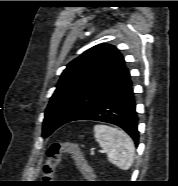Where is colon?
Returning <instances> with one entry per match:
<instances>
[{"label": "colon", "mask_w": 178, "mask_h": 186, "mask_svg": "<svg viewBox=\"0 0 178 186\" xmlns=\"http://www.w3.org/2000/svg\"><path fill=\"white\" fill-rule=\"evenodd\" d=\"M65 153H69L73 156L80 171H82L84 174L90 172L89 165L75 145L70 143L55 142L49 146L47 150L46 161L43 165V174L46 180L53 177L55 168Z\"/></svg>", "instance_id": "1"}]
</instances>
